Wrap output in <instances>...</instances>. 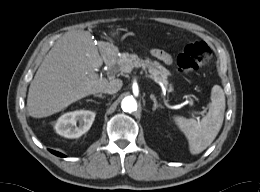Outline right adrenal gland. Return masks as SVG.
<instances>
[{
	"label": "right adrenal gland",
	"mask_w": 260,
	"mask_h": 192,
	"mask_svg": "<svg viewBox=\"0 0 260 192\" xmlns=\"http://www.w3.org/2000/svg\"><path fill=\"white\" fill-rule=\"evenodd\" d=\"M94 97L104 98L105 96H103V95L100 93V94H94Z\"/></svg>",
	"instance_id": "obj_1"
}]
</instances>
